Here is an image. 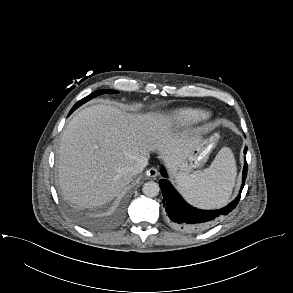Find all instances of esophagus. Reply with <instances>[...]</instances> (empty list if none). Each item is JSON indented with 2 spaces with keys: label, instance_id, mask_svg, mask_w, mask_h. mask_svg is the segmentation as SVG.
<instances>
[{
  "label": "esophagus",
  "instance_id": "1",
  "mask_svg": "<svg viewBox=\"0 0 293 293\" xmlns=\"http://www.w3.org/2000/svg\"><path fill=\"white\" fill-rule=\"evenodd\" d=\"M159 172L156 168L152 167L146 171V175L149 178L155 179L158 176Z\"/></svg>",
  "mask_w": 293,
  "mask_h": 293
}]
</instances>
